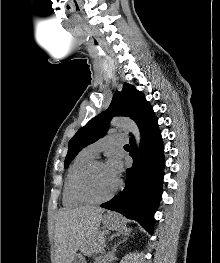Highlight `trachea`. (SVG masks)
<instances>
[{
	"label": "trachea",
	"instance_id": "trachea-1",
	"mask_svg": "<svg viewBox=\"0 0 220 263\" xmlns=\"http://www.w3.org/2000/svg\"><path fill=\"white\" fill-rule=\"evenodd\" d=\"M124 147H129V145H128V144H126Z\"/></svg>",
	"mask_w": 220,
	"mask_h": 263
}]
</instances>
